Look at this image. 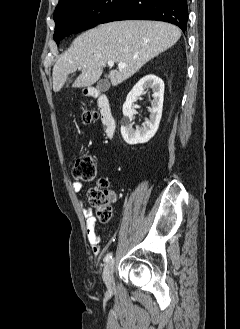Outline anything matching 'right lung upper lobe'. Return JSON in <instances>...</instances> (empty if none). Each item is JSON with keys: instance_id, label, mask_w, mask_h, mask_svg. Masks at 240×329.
Masks as SVG:
<instances>
[{"instance_id": "cb5924a9", "label": "right lung upper lobe", "mask_w": 240, "mask_h": 329, "mask_svg": "<svg viewBox=\"0 0 240 329\" xmlns=\"http://www.w3.org/2000/svg\"><path fill=\"white\" fill-rule=\"evenodd\" d=\"M68 1H70V0H59V3H58V5H57L56 9L60 8L61 6H63V5H64L65 3H67Z\"/></svg>"}]
</instances>
